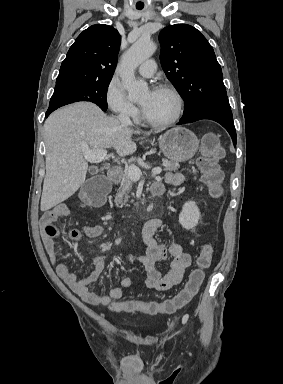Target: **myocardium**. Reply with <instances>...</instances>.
<instances>
[{
  "label": "myocardium",
  "instance_id": "1",
  "mask_svg": "<svg viewBox=\"0 0 283 384\" xmlns=\"http://www.w3.org/2000/svg\"><path fill=\"white\" fill-rule=\"evenodd\" d=\"M154 89L163 90V91H166L168 94H170V96L173 98V100L175 102V112H174L173 116L171 118H169L168 120L152 121V120L147 119L142 114V111H141V119L146 125L153 127V128H159L160 129V128L170 127L173 124H175L180 119V117L182 115V111H183L182 97L179 94V92L173 86H171L169 84H165V83L159 84Z\"/></svg>",
  "mask_w": 283,
  "mask_h": 384
}]
</instances>
